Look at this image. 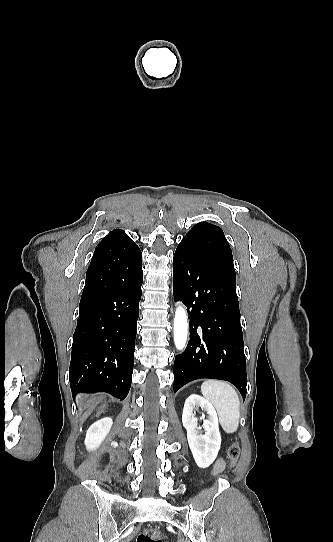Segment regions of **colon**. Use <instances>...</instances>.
<instances>
[{"instance_id":"5ec220e1","label":"colon","mask_w":333,"mask_h":542,"mask_svg":"<svg viewBox=\"0 0 333 542\" xmlns=\"http://www.w3.org/2000/svg\"><path fill=\"white\" fill-rule=\"evenodd\" d=\"M228 460L234 465L240 456V446L235 443L227 449ZM136 542H163L161 533L156 528H149L141 532Z\"/></svg>"}]
</instances>
